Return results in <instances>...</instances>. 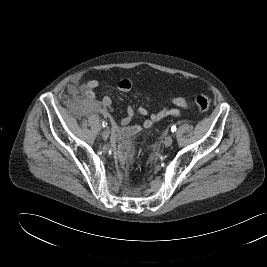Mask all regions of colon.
Returning <instances> with one entry per match:
<instances>
[{
	"label": "colon",
	"instance_id": "1",
	"mask_svg": "<svg viewBox=\"0 0 267 267\" xmlns=\"http://www.w3.org/2000/svg\"><path fill=\"white\" fill-rule=\"evenodd\" d=\"M195 106L200 112H207L210 108V101L205 95H198L195 98Z\"/></svg>",
	"mask_w": 267,
	"mask_h": 267
}]
</instances>
